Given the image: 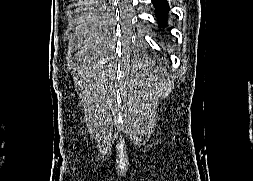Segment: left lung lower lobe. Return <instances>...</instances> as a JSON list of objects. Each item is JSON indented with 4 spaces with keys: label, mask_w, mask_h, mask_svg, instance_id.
Instances as JSON below:
<instances>
[{
    "label": "left lung lower lobe",
    "mask_w": 253,
    "mask_h": 181,
    "mask_svg": "<svg viewBox=\"0 0 253 181\" xmlns=\"http://www.w3.org/2000/svg\"><path fill=\"white\" fill-rule=\"evenodd\" d=\"M155 8H156V13L157 17L159 19V22L161 25L166 24V18H167V13H168V3L167 0H152Z\"/></svg>",
    "instance_id": "left-lung-lower-lobe-1"
}]
</instances>
